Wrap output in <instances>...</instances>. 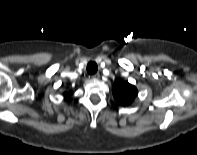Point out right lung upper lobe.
<instances>
[{"instance_id": "obj_1", "label": "right lung upper lobe", "mask_w": 197, "mask_h": 155, "mask_svg": "<svg viewBox=\"0 0 197 155\" xmlns=\"http://www.w3.org/2000/svg\"><path fill=\"white\" fill-rule=\"evenodd\" d=\"M68 95H69V94H67V93L65 94L66 97H67Z\"/></svg>"}]
</instances>
